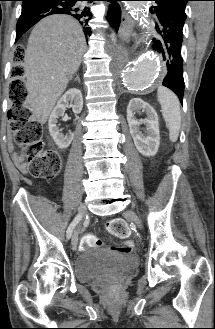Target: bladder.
<instances>
[{
    "mask_svg": "<svg viewBox=\"0 0 215 329\" xmlns=\"http://www.w3.org/2000/svg\"><path fill=\"white\" fill-rule=\"evenodd\" d=\"M136 256H125L103 248H87L74 262V271L80 282L87 283L104 273L127 272L138 266Z\"/></svg>",
    "mask_w": 215,
    "mask_h": 329,
    "instance_id": "1",
    "label": "bladder"
}]
</instances>
